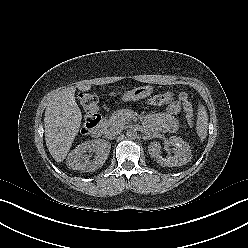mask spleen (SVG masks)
<instances>
[{"label":"spleen","instance_id":"3e777b00","mask_svg":"<svg viewBox=\"0 0 248 248\" xmlns=\"http://www.w3.org/2000/svg\"><path fill=\"white\" fill-rule=\"evenodd\" d=\"M208 130V115L205 107L201 104L198 105L196 131L201 141L207 136Z\"/></svg>","mask_w":248,"mask_h":248}]
</instances>
